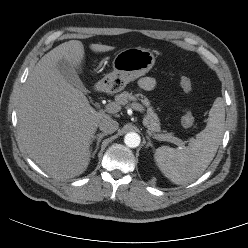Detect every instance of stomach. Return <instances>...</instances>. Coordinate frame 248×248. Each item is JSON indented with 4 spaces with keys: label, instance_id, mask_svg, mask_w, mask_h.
Masks as SVG:
<instances>
[{
    "label": "stomach",
    "instance_id": "obj_1",
    "mask_svg": "<svg viewBox=\"0 0 248 248\" xmlns=\"http://www.w3.org/2000/svg\"><path fill=\"white\" fill-rule=\"evenodd\" d=\"M155 64L154 54L143 48L120 51L112 62L113 71L100 82L104 90L116 93L126 85L149 72Z\"/></svg>",
    "mask_w": 248,
    "mask_h": 248
}]
</instances>
